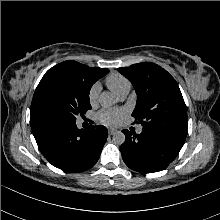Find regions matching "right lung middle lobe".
I'll return each instance as SVG.
<instances>
[{"label":"right lung middle lobe","instance_id":"1","mask_svg":"<svg viewBox=\"0 0 220 220\" xmlns=\"http://www.w3.org/2000/svg\"><path fill=\"white\" fill-rule=\"evenodd\" d=\"M101 74L81 63H59L49 69L37 86L31 115L76 122L91 109L89 92Z\"/></svg>","mask_w":220,"mask_h":220}]
</instances>
